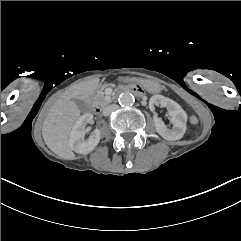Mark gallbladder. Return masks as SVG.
Masks as SVG:
<instances>
[{
	"label": "gallbladder",
	"mask_w": 241,
	"mask_h": 241,
	"mask_svg": "<svg viewBox=\"0 0 241 241\" xmlns=\"http://www.w3.org/2000/svg\"><path fill=\"white\" fill-rule=\"evenodd\" d=\"M74 101H75V103L78 105L79 109H81V110H86V109H87V104H86L85 101H83V100H78V99H76V100H74Z\"/></svg>",
	"instance_id": "bac80fb5"
}]
</instances>
